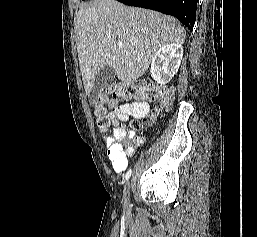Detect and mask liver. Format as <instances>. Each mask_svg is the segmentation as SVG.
I'll return each mask as SVG.
<instances>
[{
	"mask_svg": "<svg viewBox=\"0 0 257 237\" xmlns=\"http://www.w3.org/2000/svg\"><path fill=\"white\" fill-rule=\"evenodd\" d=\"M185 38L186 31L177 19L156 11L128 7L115 0L82 6L76 17V39L86 94L103 66H112L118 79L129 84L146 72L161 47L181 45ZM119 41L123 48L117 46Z\"/></svg>",
	"mask_w": 257,
	"mask_h": 237,
	"instance_id": "obj_1",
	"label": "liver"
}]
</instances>
